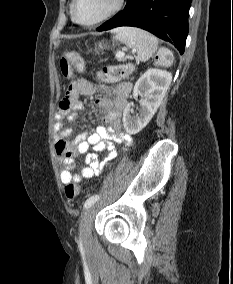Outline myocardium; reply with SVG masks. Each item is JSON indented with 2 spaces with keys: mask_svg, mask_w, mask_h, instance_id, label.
<instances>
[{
  "mask_svg": "<svg viewBox=\"0 0 233 284\" xmlns=\"http://www.w3.org/2000/svg\"><path fill=\"white\" fill-rule=\"evenodd\" d=\"M77 1L78 0H72L71 2V5H70L71 17L76 24L84 26V27L96 26L98 24H101L107 21L108 19L116 15L122 9L123 4H124V0H114L112 7L104 15H102L100 18L96 19L95 21L85 23V22L79 21L76 17L75 6H76Z\"/></svg>",
  "mask_w": 233,
  "mask_h": 284,
  "instance_id": "1",
  "label": "myocardium"
}]
</instances>
